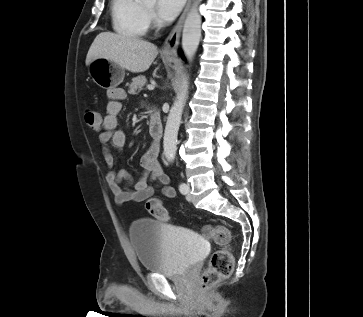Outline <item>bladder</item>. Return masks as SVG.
Wrapping results in <instances>:
<instances>
[{
    "label": "bladder",
    "instance_id": "31cf9c89",
    "mask_svg": "<svg viewBox=\"0 0 363 317\" xmlns=\"http://www.w3.org/2000/svg\"><path fill=\"white\" fill-rule=\"evenodd\" d=\"M130 237L142 269L164 276L184 273L208 252L201 233L157 220L132 223Z\"/></svg>",
    "mask_w": 363,
    "mask_h": 317
}]
</instances>
